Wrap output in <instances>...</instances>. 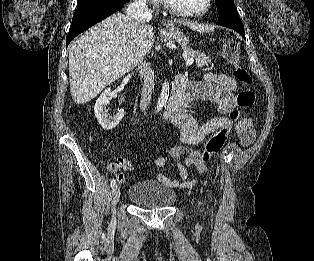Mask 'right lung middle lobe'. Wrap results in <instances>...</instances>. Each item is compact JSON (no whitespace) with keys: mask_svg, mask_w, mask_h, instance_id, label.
<instances>
[{"mask_svg":"<svg viewBox=\"0 0 314 261\" xmlns=\"http://www.w3.org/2000/svg\"><path fill=\"white\" fill-rule=\"evenodd\" d=\"M130 0H79L78 7L76 10V14L83 13L89 9L94 7L109 4L112 2H129Z\"/></svg>","mask_w":314,"mask_h":261,"instance_id":"right-lung-middle-lobe-1","label":"right lung middle lobe"}]
</instances>
